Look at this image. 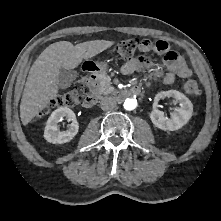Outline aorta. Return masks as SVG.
<instances>
[{"mask_svg":"<svg viewBox=\"0 0 221 221\" xmlns=\"http://www.w3.org/2000/svg\"><path fill=\"white\" fill-rule=\"evenodd\" d=\"M123 106L126 110H133L137 107V100L133 98H127Z\"/></svg>","mask_w":221,"mask_h":221,"instance_id":"1","label":"aorta"}]
</instances>
